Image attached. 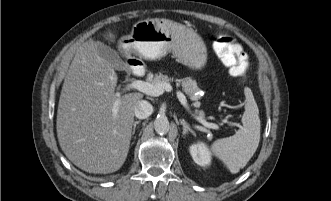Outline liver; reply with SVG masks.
Here are the masks:
<instances>
[{
    "instance_id": "liver-1",
    "label": "liver",
    "mask_w": 331,
    "mask_h": 201,
    "mask_svg": "<svg viewBox=\"0 0 331 201\" xmlns=\"http://www.w3.org/2000/svg\"><path fill=\"white\" fill-rule=\"evenodd\" d=\"M114 40L111 32L105 34ZM117 74L94 41L80 45L65 77L56 129L59 145L78 168L94 174L113 173L124 164L131 141L139 92L118 97ZM120 99L116 118L113 105Z\"/></svg>"
}]
</instances>
